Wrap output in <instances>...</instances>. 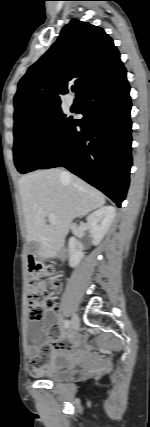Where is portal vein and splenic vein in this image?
<instances>
[{
    "instance_id": "portal-vein-and-splenic-vein-1",
    "label": "portal vein and splenic vein",
    "mask_w": 150,
    "mask_h": 427,
    "mask_svg": "<svg viewBox=\"0 0 150 427\" xmlns=\"http://www.w3.org/2000/svg\"><path fill=\"white\" fill-rule=\"evenodd\" d=\"M48 219H49V222H50L51 225H55L57 223L56 216L53 213H50L48 215Z\"/></svg>"
}]
</instances>
